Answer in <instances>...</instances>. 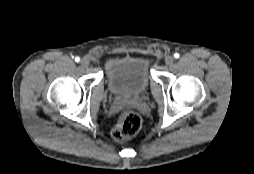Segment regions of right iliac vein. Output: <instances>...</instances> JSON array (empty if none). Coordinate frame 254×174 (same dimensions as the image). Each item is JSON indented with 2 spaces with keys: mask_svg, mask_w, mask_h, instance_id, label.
I'll return each instance as SVG.
<instances>
[{
  "mask_svg": "<svg viewBox=\"0 0 254 174\" xmlns=\"http://www.w3.org/2000/svg\"><path fill=\"white\" fill-rule=\"evenodd\" d=\"M80 64H81L82 67L86 68V67L89 66V60L86 59V58H83V59L80 60Z\"/></svg>",
  "mask_w": 254,
  "mask_h": 174,
  "instance_id": "1",
  "label": "right iliac vein"
}]
</instances>
